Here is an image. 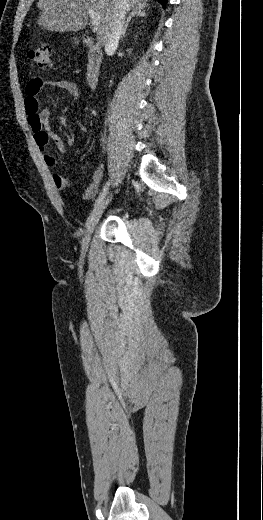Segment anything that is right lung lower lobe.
Returning a JSON list of instances; mask_svg holds the SVG:
<instances>
[{
    "label": "right lung lower lobe",
    "instance_id": "98d812e1",
    "mask_svg": "<svg viewBox=\"0 0 263 520\" xmlns=\"http://www.w3.org/2000/svg\"><path fill=\"white\" fill-rule=\"evenodd\" d=\"M165 7L167 0H158Z\"/></svg>",
    "mask_w": 263,
    "mask_h": 520
}]
</instances>
